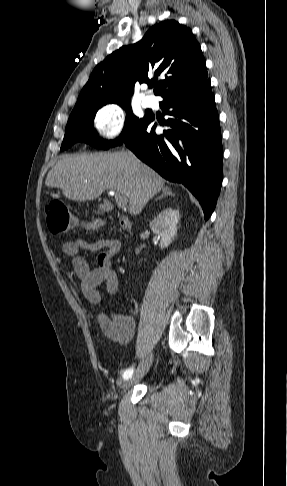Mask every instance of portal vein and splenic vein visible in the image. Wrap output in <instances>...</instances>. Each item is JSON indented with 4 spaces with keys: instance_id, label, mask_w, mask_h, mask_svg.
<instances>
[{
    "instance_id": "1",
    "label": "portal vein and splenic vein",
    "mask_w": 287,
    "mask_h": 486,
    "mask_svg": "<svg viewBox=\"0 0 287 486\" xmlns=\"http://www.w3.org/2000/svg\"><path fill=\"white\" fill-rule=\"evenodd\" d=\"M109 194L115 197L116 202H117L119 207H126L127 206L128 200L125 196L120 195L119 193L114 192V191H110Z\"/></svg>"
}]
</instances>
